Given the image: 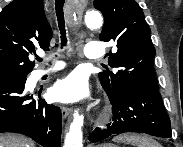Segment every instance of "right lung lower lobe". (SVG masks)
<instances>
[{"mask_svg":"<svg viewBox=\"0 0 183 147\" xmlns=\"http://www.w3.org/2000/svg\"><path fill=\"white\" fill-rule=\"evenodd\" d=\"M26 78L0 83V133L26 135L44 147H60L62 120L59 107L24 91Z\"/></svg>","mask_w":183,"mask_h":147,"instance_id":"1","label":"right lung lower lobe"}]
</instances>
